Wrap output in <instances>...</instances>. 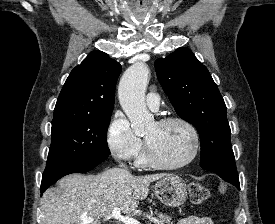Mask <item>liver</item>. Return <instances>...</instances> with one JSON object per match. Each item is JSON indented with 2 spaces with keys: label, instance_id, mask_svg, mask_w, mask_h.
Instances as JSON below:
<instances>
[{
  "label": "liver",
  "instance_id": "1",
  "mask_svg": "<svg viewBox=\"0 0 275 224\" xmlns=\"http://www.w3.org/2000/svg\"><path fill=\"white\" fill-rule=\"evenodd\" d=\"M165 176H134L119 168L99 175H67L59 180L58 190L47 189L42 196L46 224H101L114 208L130 214L147 197L150 183ZM82 217L94 221L86 223Z\"/></svg>",
  "mask_w": 275,
  "mask_h": 224
}]
</instances>
